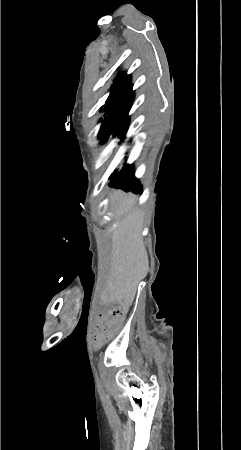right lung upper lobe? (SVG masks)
<instances>
[{"instance_id": "1", "label": "right lung upper lobe", "mask_w": 241, "mask_h": 450, "mask_svg": "<svg viewBox=\"0 0 241 450\" xmlns=\"http://www.w3.org/2000/svg\"><path fill=\"white\" fill-rule=\"evenodd\" d=\"M130 81L131 76L126 75L124 72H121L116 77L112 85V90L115 92L117 98L130 101L134 100L135 92L132 90L133 84Z\"/></svg>"}]
</instances>
